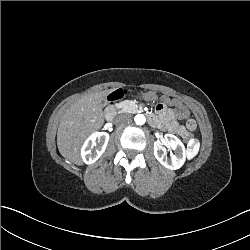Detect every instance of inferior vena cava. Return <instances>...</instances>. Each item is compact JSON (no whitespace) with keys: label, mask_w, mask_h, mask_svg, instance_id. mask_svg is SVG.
Masks as SVG:
<instances>
[{"label":"inferior vena cava","mask_w":250,"mask_h":250,"mask_svg":"<svg viewBox=\"0 0 250 250\" xmlns=\"http://www.w3.org/2000/svg\"><path fill=\"white\" fill-rule=\"evenodd\" d=\"M116 122L120 124H129L132 122V115L129 113H122L116 117Z\"/></svg>","instance_id":"inferior-vena-cava-1"}]
</instances>
